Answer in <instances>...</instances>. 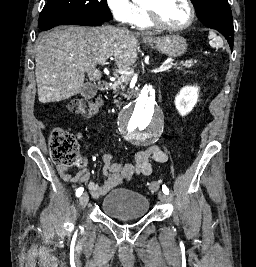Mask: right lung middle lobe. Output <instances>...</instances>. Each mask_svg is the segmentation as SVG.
I'll list each match as a JSON object with an SVG mask.
<instances>
[{"instance_id":"obj_1","label":"right lung middle lobe","mask_w":256,"mask_h":267,"mask_svg":"<svg viewBox=\"0 0 256 267\" xmlns=\"http://www.w3.org/2000/svg\"><path fill=\"white\" fill-rule=\"evenodd\" d=\"M111 19L106 0H47L39 17V27L47 30L50 26L71 20L105 22Z\"/></svg>"}]
</instances>
